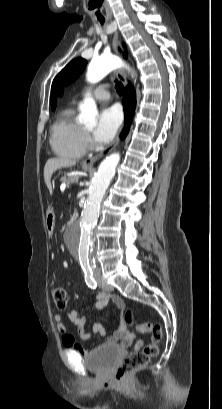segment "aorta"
Returning <instances> with one entry per match:
<instances>
[{"mask_svg": "<svg viewBox=\"0 0 222 409\" xmlns=\"http://www.w3.org/2000/svg\"><path fill=\"white\" fill-rule=\"evenodd\" d=\"M119 58L111 55H103L91 61L87 71V80L96 83L104 78L112 70L121 67ZM80 120L88 125H95L98 114L96 104L92 98L85 99L80 106ZM120 161L119 153L106 157L99 165L93 185L84 205L81 218L69 233L71 249L79 257V262L84 267L90 264L92 246L94 240V227L97 222L100 203L115 175V170Z\"/></svg>", "mask_w": 222, "mask_h": 409, "instance_id": "obj_1", "label": "aorta"}]
</instances>
